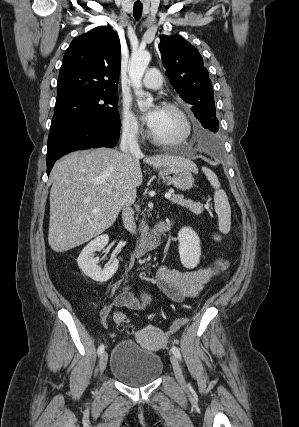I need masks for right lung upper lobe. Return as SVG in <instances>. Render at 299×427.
Wrapping results in <instances>:
<instances>
[{
	"mask_svg": "<svg viewBox=\"0 0 299 427\" xmlns=\"http://www.w3.org/2000/svg\"><path fill=\"white\" fill-rule=\"evenodd\" d=\"M120 62L119 37L110 27H97L74 38L63 57L56 101L81 93L117 91Z\"/></svg>",
	"mask_w": 299,
	"mask_h": 427,
	"instance_id": "cb5924a9",
	"label": "right lung upper lobe"
}]
</instances>
